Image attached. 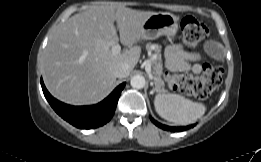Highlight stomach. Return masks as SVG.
Here are the masks:
<instances>
[{"mask_svg":"<svg viewBox=\"0 0 261 162\" xmlns=\"http://www.w3.org/2000/svg\"><path fill=\"white\" fill-rule=\"evenodd\" d=\"M142 31V38L146 40H153L162 35L172 40L178 31V19L171 13H156L143 22Z\"/></svg>","mask_w":261,"mask_h":162,"instance_id":"0dacf381","label":"stomach"}]
</instances>
